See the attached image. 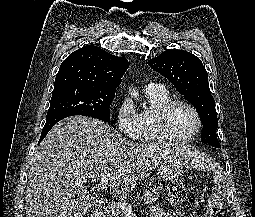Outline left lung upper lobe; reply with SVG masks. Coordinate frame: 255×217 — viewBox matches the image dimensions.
Returning a JSON list of instances; mask_svg holds the SVG:
<instances>
[{
	"mask_svg": "<svg viewBox=\"0 0 255 217\" xmlns=\"http://www.w3.org/2000/svg\"><path fill=\"white\" fill-rule=\"evenodd\" d=\"M148 65L167 78L196 108L203 122L202 142L221 148L216 135L218 123L215 102L201 60L190 52L170 49L149 60Z\"/></svg>",
	"mask_w": 255,
	"mask_h": 217,
	"instance_id": "left-lung-upper-lobe-1",
	"label": "left lung upper lobe"
}]
</instances>
